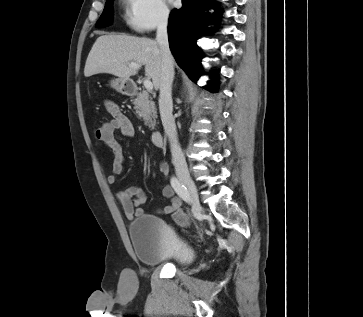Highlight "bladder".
<instances>
[{
	"label": "bladder",
	"instance_id": "bladder-1",
	"mask_svg": "<svg viewBox=\"0 0 363 317\" xmlns=\"http://www.w3.org/2000/svg\"><path fill=\"white\" fill-rule=\"evenodd\" d=\"M128 234L135 254L143 265L171 262L181 267L195 258L194 247L159 218L138 216L129 224Z\"/></svg>",
	"mask_w": 363,
	"mask_h": 317
}]
</instances>
